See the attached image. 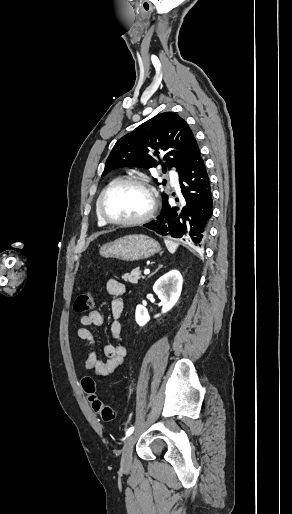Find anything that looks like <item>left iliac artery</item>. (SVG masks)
<instances>
[{
	"mask_svg": "<svg viewBox=\"0 0 292 514\" xmlns=\"http://www.w3.org/2000/svg\"><path fill=\"white\" fill-rule=\"evenodd\" d=\"M134 431V427H130L127 431H126V436H129L133 433Z\"/></svg>",
	"mask_w": 292,
	"mask_h": 514,
	"instance_id": "1",
	"label": "left iliac artery"
}]
</instances>
